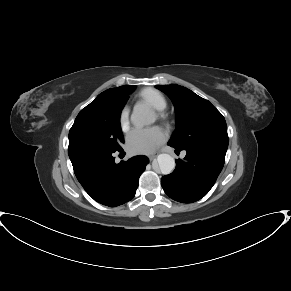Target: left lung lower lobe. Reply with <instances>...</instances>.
<instances>
[{
	"instance_id": "obj_1",
	"label": "left lung lower lobe",
	"mask_w": 291,
	"mask_h": 291,
	"mask_svg": "<svg viewBox=\"0 0 291 291\" xmlns=\"http://www.w3.org/2000/svg\"><path fill=\"white\" fill-rule=\"evenodd\" d=\"M228 145L195 144L184 149V160H176L175 170L161 179L164 192L173 200L192 203L204 197L220 174Z\"/></svg>"
}]
</instances>
